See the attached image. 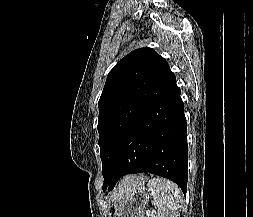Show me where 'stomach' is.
Masks as SVG:
<instances>
[{
  "label": "stomach",
  "mask_w": 253,
  "mask_h": 217,
  "mask_svg": "<svg viewBox=\"0 0 253 217\" xmlns=\"http://www.w3.org/2000/svg\"><path fill=\"white\" fill-rule=\"evenodd\" d=\"M148 199L143 186L134 188L130 194L115 201L113 217H145Z\"/></svg>",
  "instance_id": "obj_1"
}]
</instances>
